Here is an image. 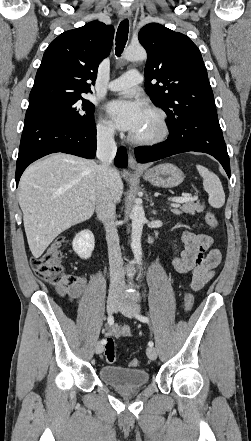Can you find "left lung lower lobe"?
I'll list each match as a JSON object with an SVG mask.
<instances>
[{
	"mask_svg": "<svg viewBox=\"0 0 251 441\" xmlns=\"http://www.w3.org/2000/svg\"><path fill=\"white\" fill-rule=\"evenodd\" d=\"M203 152L214 156L230 177V161L217 115L183 118L170 129L167 140L154 146L135 148L139 163L156 161L182 152Z\"/></svg>",
	"mask_w": 251,
	"mask_h": 441,
	"instance_id": "1",
	"label": "left lung lower lobe"
}]
</instances>
